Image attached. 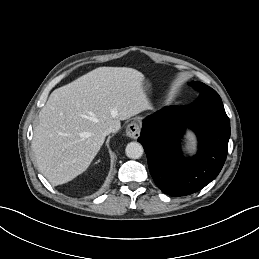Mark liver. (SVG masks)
I'll use <instances>...</instances> for the list:
<instances>
[{"mask_svg": "<svg viewBox=\"0 0 259 259\" xmlns=\"http://www.w3.org/2000/svg\"><path fill=\"white\" fill-rule=\"evenodd\" d=\"M144 76L127 67H99L55 89L39 112L32 150L44 177L67 183L91 164L105 136L120 120L149 109Z\"/></svg>", "mask_w": 259, "mask_h": 259, "instance_id": "obj_1", "label": "liver"}]
</instances>
